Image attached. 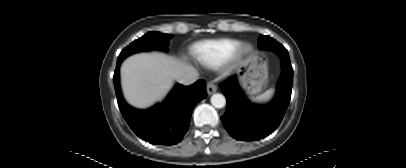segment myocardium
<instances>
[{
	"label": "myocardium",
	"instance_id": "obj_1",
	"mask_svg": "<svg viewBox=\"0 0 406 168\" xmlns=\"http://www.w3.org/2000/svg\"><path fill=\"white\" fill-rule=\"evenodd\" d=\"M253 51V48L249 44H241L236 50L234 56L231 59L232 64H237L249 56Z\"/></svg>",
	"mask_w": 406,
	"mask_h": 168
}]
</instances>
